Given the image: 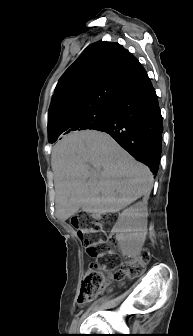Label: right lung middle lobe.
Listing matches in <instances>:
<instances>
[{
  "label": "right lung middle lobe",
  "instance_id": "dd1d6c3e",
  "mask_svg": "<svg viewBox=\"0 0 193 336\" xmlns=\"http://www.w3.org/2000/svg\"><path fill=\"white\" fill-rule=\"evenodd\" d=\"M110 108L91 111L79 116L75 121L74 130L101 129L107 120Z\"/></svg>",
  "mask_w": 193,
  "mask_h": 336
}]
</instances>
